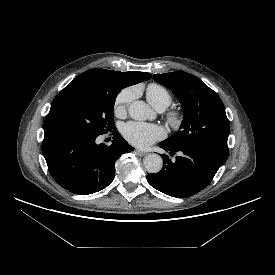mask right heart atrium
<instances>
[{"mask_svg":"<svg viewBox=\"0 0 275 275\" xmlns=\"http://www.w3.org/2000/svg\"><path fill=\"white\" fill-rule=\"evenodd\" d=\"M134 97V90L132 88L122 89L115 97L113 104L114 114L118 117L123 116Z\"/></svg>","mask_w":275,"mask_h":275,"instance_id":"d8ad5b80","label":"right heart atrium"}]
</instances>
